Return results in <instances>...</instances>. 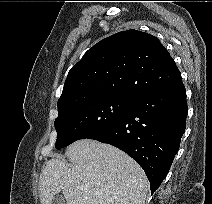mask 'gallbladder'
Instances as JSON below:
<instances>
[{"label": "gallbladder", "mask_w": 212, "mask_h": 204, "mask_svg": "<svg viewBox=\"0 0 212 204\" xmlns=\"http://www.w3.org/2000/svg\"><path fill=\"white\" fill-rule=\"evenodd\" d=\"M51 204H66L62 195H55Z\"/></svg>", "instance_id": "bac80fb5"}]
</instances>
